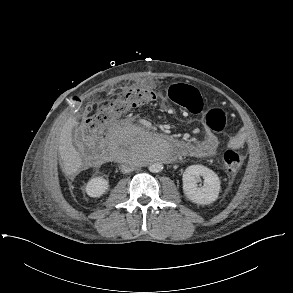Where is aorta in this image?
I'll return each mask as SVG.
<instances>
[{
  "label": "aorta",
  "instance_id": "obj_1",
  "mask_svg": "<svg viewBox=\"0 0 293 293\" xmlns=\"http://www.w3.org/2000/svg\"><path fill=\"white\" fill-rule=\"evenodd\" d=\"M150 146L152 153L156 156H165L167 153L168 148L170 147V143L161 137H154L150 141ZM163 169V165L160 162L152 163L149 166V171L152 173L161 172Z\"/></svg>",
  "mask_w": 293,
  "mask_h": 293
}]
</instances>
